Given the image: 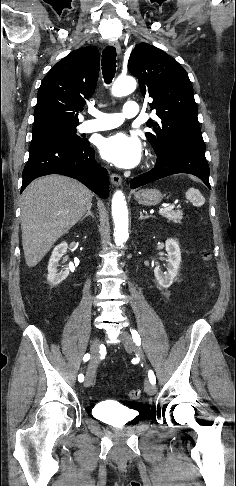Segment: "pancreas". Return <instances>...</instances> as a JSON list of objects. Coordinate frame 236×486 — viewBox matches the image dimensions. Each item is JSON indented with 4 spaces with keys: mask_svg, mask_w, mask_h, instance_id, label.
Instances as JSON below:
<instances>
[{
    "mask_svg": "<svg viewBox=\"0 0 236 486\" xmlns=\"http://www.w3.org/2000/svg\"><path fill=\"white\" fill-rule=\"evenodd\" d=\"M163 217L167 218L168 221H173L174 223H180L183 213L181 211H168L163 213Z\"/></svg>",
    "mask_w": 236,
    "mask_h": 486,
    "instance_id": "cf45deb5",
    "label": "pancreas"
}]
</instances>
